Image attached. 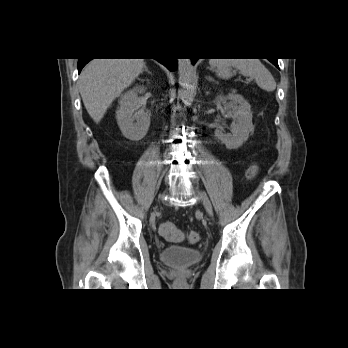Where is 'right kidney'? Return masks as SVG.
<instances>
[{"label":"right kidney","mask_w":348,"mask_h":348,"mask_svg":"<svg viewBox=\"0 0 348 348\" xmlns=\"http://www.w3.org/2000/svg\"><path fill=\"white\" fill-rule=\"evenodd\" d=\"M144 87H135L121 96L116 111L117 124L122 134L129 140L139 141L148 132L150 114L138 111V93L144 92Z\"/></svg>","instance_id":"right-kidney-1"}]
</instances>
